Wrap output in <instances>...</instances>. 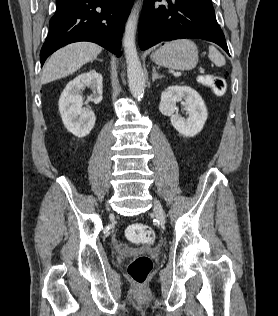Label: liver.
Segmentation results:
<instances>
[{
    "label": "liver",
    "mask_w": 278,
    "mask_h": 316,
    "mask_svg": "<svg viewBox=\"0 0 278 316\" xmlns=\"http://www.w3.org/2000/svg\"><path fill=\"white\" fill-rule=\"evenodd\" d=\"M102 48L91 42H77L56 51L46 62L41 82L46 84L76 72L96 59Z\"/></svg>",
    "instance_id": "6515ba94"
}]
</instances>
